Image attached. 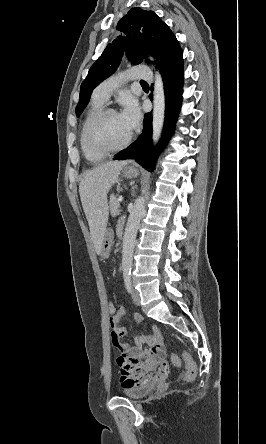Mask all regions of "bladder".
Returning <instances> with one entry per match:
<instances>
[{
	"label": "bladder",
	"instance_id": "31cf9c89",
	"mask_svg": "<svg viewBox=\"0 0 266 444\" xmlns=\"http://www.w3.org/2000/svg\"><path fill=\"white\" fill-rule=\"evenodd\" d=\"M154 388V385H142L125 389L123 393L127 398L138 400L147 396Z\"/></svg>",
	"mask_w": 266,
	"mask_h": 444
}]
</instances>
